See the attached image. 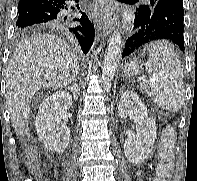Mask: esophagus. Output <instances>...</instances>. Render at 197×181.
<instances>
[{"mask_svg": "<svg viewBox=\"0 0 197 181\" xmlns=\"http://www.w3.org/2000/svg\"><path fill=\"white\" fill-rule=\"evenodd\" d=\"M101 8L100 27L104 36L111 33L113 24L117 19L114 0H99Z\"/></svg>", "mask_w": 197, "mask_h": 181, "instance_id": "esophagus-1", "label": "esophagus"}]
</instances>
